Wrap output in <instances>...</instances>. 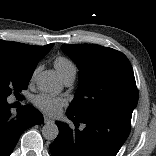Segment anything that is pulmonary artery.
Masks as SVG:
<instances>
[{
  "label": "pulmonary artery",
  "instance_id": "obj_1",
  "mask_svg": "<svg viewBox=\"0 0 156 156\" xmlns=\"http://www.w3.org/2000/svg\"><path fill=\"white\" fill-rule=\"evenodd\" d=\"M74 79H75V73H70L63 79V81L66 86H70L74 82Z\"/></svg>",
  "mask_w": 156,
  "mask_h": 156
}]
</instances>
